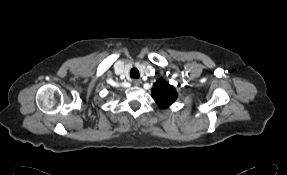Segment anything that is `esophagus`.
Segmentation results:
<instances>
[{"instance_id": "esophagus-1", "label": "esophagus", "mask_w": 287, "mask_h": 175, "mask_svg": "<svg viewBox=\"0 0 287 175\" xmlns=\"http://www.w3.org/2000/svg\"><path fill=\"white\" fill-rule=\"evenodd\" d=\"M132 83H133L134 86H139L141 84V80L140 79H134L132 81Z\"/></svg>"}]
</instances>
